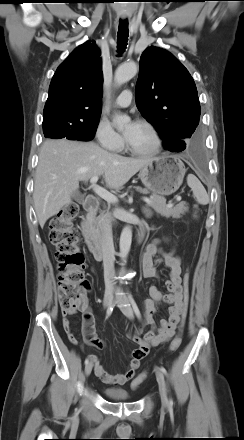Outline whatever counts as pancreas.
<instances>
[{
    "label": "pancreas",
    "mask_w": 244,
    "mask_h": 440,
    "mask_svg": "<svg viewBox=\"0 0 244 440\" xmlns=\"http://www.w3.org/2000/svg\"><path fill=\"white\" fill-rule=\"evenodd\" d=\"M140 191L147 192L146 190L140 189ZM152 201L151 204H148L152 207L157 213L166 217V218H180L181 215H184L188 211V206L186 202H181L176 206H170L166 204V199L156 194H152L150 196ZM113 214L109 211L104 215L101 213L98 217H96L93 221L94 231L97 235H100L101 230L106 221H113Z\"/></svg>",
    "instance_id": "cf45deb5"
}]
</instances>
